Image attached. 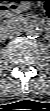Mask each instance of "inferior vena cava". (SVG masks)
<instances>
[{
  "label": "inferior vena cava",
  "instance_id": "602c4592",
  "mask_svg": "<svg viewBox=\"0 0 50 111\" xmlns=\"http://www.w3.org/2000/svg\"><path fill=\"white\" fill-rule=\"evenodd\" d=\"M21 33L19 32V31H12V32H10L9 34H8V37L9 38H13V37H15V36H18V35H20Z\"/></svg>",
  "mask_w": 50,
  "mask_h": 111
}]
</instances>
